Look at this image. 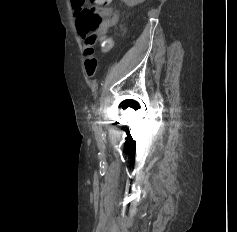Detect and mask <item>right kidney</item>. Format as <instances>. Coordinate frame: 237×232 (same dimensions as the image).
I'll return each mask as SVG.
<instances>
[{
    "label": "right kidney",
    "instance_id": "obj_1",
    "mask_svg": "<svg viewBox=\"0 0 237 232\" xmlns=\"http://www.w3.org/2000/svg\"><path fill=\"white\" fill-rule=\"evenodd\" d=\"M122 1L125 2L127 6L133 7L144 2L145 0H122Z\"/></svg>",
    "mask_w": 237,
    "mask_h": 232
}]
</instances>
